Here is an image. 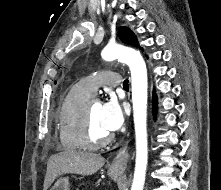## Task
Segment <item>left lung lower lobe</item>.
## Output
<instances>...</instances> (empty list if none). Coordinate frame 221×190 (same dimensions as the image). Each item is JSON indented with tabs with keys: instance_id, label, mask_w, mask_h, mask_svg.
Wrapping results in <instances>:
<instances>
[{
	"instance_id": "obj_1",
	"label": "left lung lower lobe",
	"mask_w": 221,
	"mask_h": 190,
	"mask_svg": "<svg viewBox=\"0 0 221 190\" xmlns=\"http://www.w3.org/2000/svg\"><path fill=\"white\" fill-rule=\"evenodd\" d=\"M153 112L154 114L156 113V108H157V99H156V96L154 95L153 97Z\"/></svg>"
}]
</instances>
